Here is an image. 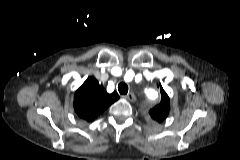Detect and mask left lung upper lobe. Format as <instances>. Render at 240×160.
I'll return each instance as SVG.
<instances>
[{"instance_id":"1","label":"left lung upper lobe","mask_w":240,"mask_h":160,"mask_svg":"<svg viewBox=\"0 0 240 160\" xmlns=\"http://www.w3.org/2000/svg\"><path fill=\"white\" fill-rule=\"evenodd\" d=\"M160 90L162 94L161 102L149 111L150 117L159 123L166 119L170 109L169 97L166 94V92L163 90L161 84H160Z\"/></svg>"}]
</instances>
